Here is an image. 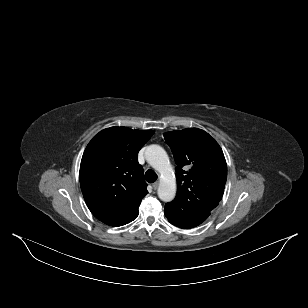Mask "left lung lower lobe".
<instances>
[{
    "label": "left lung lower lobe",
    "mask_w": 308,
    "mask_h": 308,
    "mask_svg": "<svg viewBox=\"0 0 308 308\" xmlns=\"http://www.w3.org/2000/svg\"><path fill=\"white\" fill-rule=\"evenodd\" d=\"M210 215V212L193 217L191 219L187 220H173L168 218L169 222L177 227L183 228V229H189L198 226L201 224L204 220L208 218Z\"/></svg>",
    "instance_id": "left-lung-lower-lobe-1"
}]
</instances>
